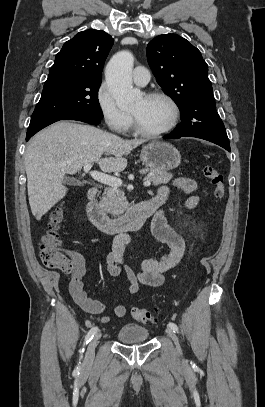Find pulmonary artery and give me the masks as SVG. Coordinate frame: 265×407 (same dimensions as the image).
Listing matches in <instances>:
<instances>
[{
  "instance_id": "obj_1",
  "label": "pulmonary artery",
  "mask_w": 265,
  "mask_h": 407,
  "mask_svg": "<svg viewBox=\"0 0 265 407\" xmlns=\"http://www.w3.org/2000/svg\"><path fill=\"white\" fill-rule=\"evenodd\" d=\"M133 82L139 86H145L150 80V72L143 66H137L132 74Z\"/></svg>"
}]
</instances>
